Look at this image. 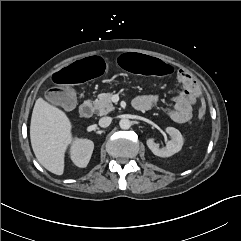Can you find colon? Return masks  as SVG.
<instances>
[{
    "mask_svg": "<svg viewBox=\"0 0 241 241\" xmlns=\"http://www.w3.org/2000/svg\"><path fill=\"white\" fill-rule=\"evenodd\" d=\"M119 65L127 71L140 72L156 78L169 79L176 76L179 70L167 59L147 57L143 52L124 53L119 58ZM106 72V59L98 53H91L83 58L70 63L63 70H55L50 75V82L56 88L51 90L48 98L62 108H69L74 103L72 91L62 87L72 85L75 82L91 81L101 77ZM206 112L204 103L198 110L199 118H203Z\"/></svg>",
    "mask_w": 241,
    "mask_h": 241,
    "instance_id": "5ec220e1",
    "label": "colon"
}]
</instances>
